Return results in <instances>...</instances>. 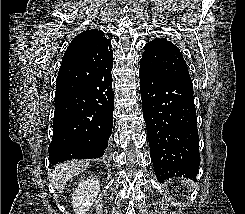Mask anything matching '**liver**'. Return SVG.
<instances>
[{
    "label": "liver",
    "mask_w": 245,
    "mask_h": 214,
    "mask_svg": "<svg viewBox=\"0 0 245 214\" xmlns=\"http://www.w3.org/2000/svg\"><path fill=\"white\" fill-rule=\"evenodd\" d=\"M89 165L87 161H68L59 164L50 175V181L56 188V190L61 193L67 181L83 172Z\"/></svg>",
    "instance_id": "1"
}]
</instances>
